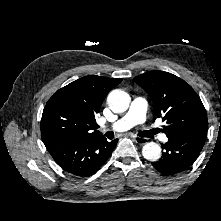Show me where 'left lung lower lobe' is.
<instances>
[{"mask_svg": "<svg viewBox=\"0 0 221 221\" xmlns=\"http://www.w3.org/2000/svg\"><path fill=\"white\" fill-rule=\"evenodd\" d=\"M207 134L197 133L183 137L169 138L163 145L165 152L153 167L168 176L187 170L197 159L202 150Z\"/></svg>", "mask_w": 221, "mask_h": 221, "instance_id": "0a47b994", "label": "left lung lower lobe"}]
</instances>
